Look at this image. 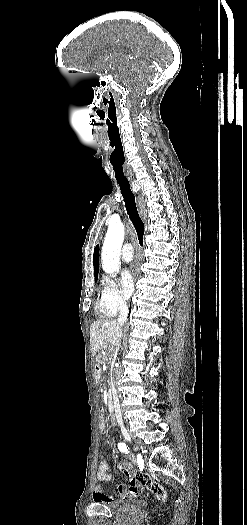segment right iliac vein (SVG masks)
Listing matches in <instances>:
<instances>
[{
    "label": "right iliac vein",
    "mask_w": 247,
    "mask_h": 525,
    "mask_svg": "<svg viewBox=\"0 0 247 525\" xmlns=\"http://www.w3.org/2000/svg\"><path fill=\"white\" fill-rule=\"evenodd\" d=\"M121 432H122L124 438L127 441L131 442V436H130L129 432L127 431V429L124 426H121Z\"/></svg>",
    "instance_id": "obj_1"
}]
</instances>
